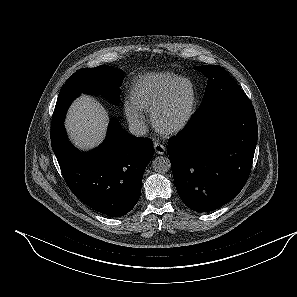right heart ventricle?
Listing matches in <instances>:
<instances>
[{
  "label": "right heart ventricle",
  "instance_id": "1",
  "mask_svg": "<svg viewBox=\"0 0 297 297\" xmlns=\"http://www.w3.org/2000/svg\"><path fill=\"white\" fill-rule=\"evenodd\" d=\"M178 77L177 74L169 72L145 74L132 83L130 101L141 111L150 112Z\"/></svg>",
  "mask_w": 297,
  "mask_h": 297
}]
</instances>
